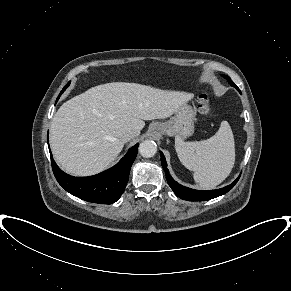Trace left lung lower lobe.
Segmentation results:
<instances>
[{"label": "left lung lower lobe", "instance_id": "0a47b994", "mask_svg": "<svg viewBox=\"0 0 291 291\" xmlns=\"http://www.w3.org/2000/svg\"><path fill=\"white\" fill-rule=\"evenodd\" d=\"M160 154H161V164L165 171L167 182L169 186L171 187V189L174 191V193L183 200L206 201V200L216 198L218 196H221L227 193L229 190H231L233 186L239 180V177H238L232 184L220 189H216V190H208V191L194 190V189L180 185L171 177V175L169 174V170L167 169L166 159L162 152H160Z\"/></svg>", "mask_w": 291, "mask_h": 291}]
</instances>
